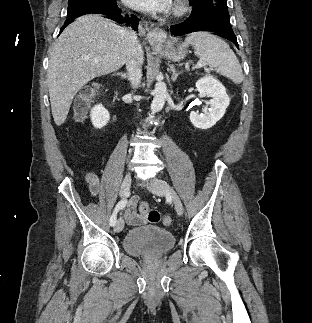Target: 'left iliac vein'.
<instances>
[{
  "label": "left iliac vein",
  "instance_id": "left-iliac-vein-1",
  "mask_svg": "<svg viewBox=\"0 0 312 323\" xmlns=\"http://www.w3.org/2000/svg\"><path fill=\"white\" fill-rule=\"evenodd\" d=\"M149 188L157 195L168 196L173 201L177 214L180 216L183 214V205L178 194L166 181L154 179Z\"/></svg>",
  "mask_w": 312,
  "mask_h": 323
}]
</instances>
